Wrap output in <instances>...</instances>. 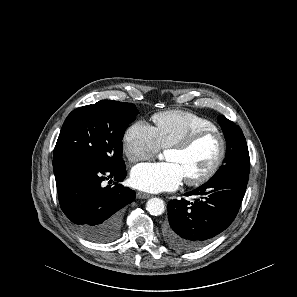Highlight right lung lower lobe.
Instances as JSON below:
<instances>
[{
    "label": "right lung lower lobe",
    "mask_w": 297,
    "mask_h": 297,
    "mask_svg": "<svg viewBox=\"0 0 297 297\" xmlns=\"http://www.w3.org/2000/svg\"><path fill=\"white\" fill-rule=\"evenodd\" d=\"M61 209L76 231L92 242L106 243L120 233L123 207L131 203L135 191L119 182L126 168L107 169L88 160L59 158L53 160ZM114 179L115 186L102 182Z\"/></svg>",
    "instance_id": "1"
}]
</instances>
